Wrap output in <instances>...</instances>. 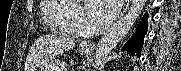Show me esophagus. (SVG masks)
Segmentation results:
<instances>
[{
	"label": "esophagus",
	"mask_w": 181,
	"mask_h": 71,
	"mask_svg": "<svg viewBox=\"0 0 181 71\" xmlns=\"http://www.w3.org/2000/svg\"><path fill=\"white\" fill-rule=\"evenodd\" d=\"M129 4H130V0H125L124 1L121 16H123V14L127 11ZM82 45L85 46V47H89V48H94L95 47V44L93 42H91V41L84 42V43H82Z\"/></svg>",
	"instance_id": "1"
}]
</instances>
